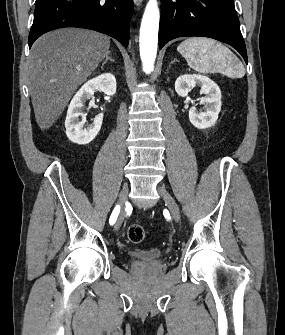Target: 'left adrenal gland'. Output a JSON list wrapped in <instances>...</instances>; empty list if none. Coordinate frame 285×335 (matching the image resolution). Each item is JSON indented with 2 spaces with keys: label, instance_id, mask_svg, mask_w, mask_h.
<instances>
[{
  "label": "left adrenal gland",
  "instance_id": "left-adrenal-gland-1",
  "mask_svg": "<svg viewBox=\"0 0 285 335\" xmlns=\"http://www.w3.org/2000/svg\"><path fill=\"white\" fill-rule=\"evenodd\" d=\"M174 62H179V60H177V58H174L173 62H171V64H174Z\"/></svg>",
  "mask_w": 285,
  "mask_h": 335
}]
</instances>
